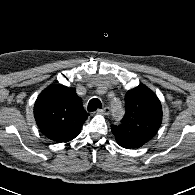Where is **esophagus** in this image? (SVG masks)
Wrapping results in <instances>:
<instances>
[{
	"mask_svg": "<svg viewBox=\"0 0 195 195\" xmlns=\"http://www.w3.org/2000/svg\"><path fill=\"white\" fill-rule=\"evenodd\" d=\"M99 112H102L103 114H109L110 113V108L109 107H104Z\"/></svg>",
	"mask_w": 195,
	"mask_h": 195,
	"instance_id": "34e87169",
	"label": "esophagus"
}]
</instances>
